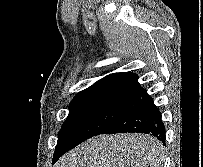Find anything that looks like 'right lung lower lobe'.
Listing matches in <instances>:
<instances>
[{
    "label": "right lung lower lobe",
    "instance_id": "98d812e1",
    "mask_svg": "<svg viewBox=\"0 0 203 167\" xmlns=\"http://www.w3.org/2000/svg\"><path fill=\"white\" fill-rule=\"evenodd\" d=\"M127 132L150 134L163 143L165 142V126L161 120V114L151 97L147 96L136 102L102 134ZM67 151L69 149L64 145L57 144L53 163Z\"/></svg>",
    "mask_w": 203,
    "mask_h": 167
}]
</instances>
